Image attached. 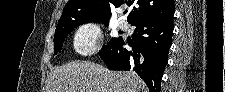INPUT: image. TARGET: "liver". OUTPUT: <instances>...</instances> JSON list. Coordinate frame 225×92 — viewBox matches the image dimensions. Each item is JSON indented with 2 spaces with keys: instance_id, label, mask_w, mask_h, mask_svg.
Returning <instances> with one entry per match:
<instances>
[{
  "instance_id": "obj_1",
  "label": "liver",
  "mask_w": 225,
  "mask_h": 92,
  "mask_svg": "<svg viewBox=\"0 0 225 92\" xmlns=\"http://www.w3.org/2000/svg\"><path fill=\"white\" fill-rule=\"evenodd\" d=\"M132 71H110L91 61H74L50 71L47 92H147Z\"/></svg>"
}]
</instances>
